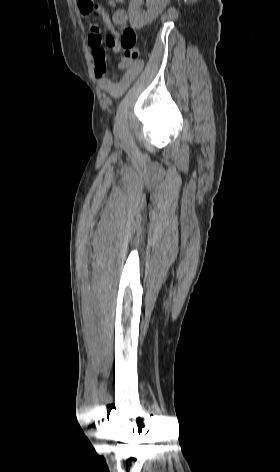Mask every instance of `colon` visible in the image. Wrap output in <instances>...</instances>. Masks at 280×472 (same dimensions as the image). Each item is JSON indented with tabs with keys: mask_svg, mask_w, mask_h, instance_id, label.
<instances>
[{
	"mask_svg": "<svg viewBox=\"0 0 280 472\" xmlns=\"http://www.w3.org/2000/svg\"><path fill=\"white\" fill-rule=\"evenodd\" d=\"M88 9H92L93 0H88L86 3ZM137 36L134 30L126 28L120 37V47L126 58L134 59L138 56V49L136 45Z\"/></svg>",
	"mask_w": 280,
	"mask_h": 472,
	"instance_id": "obj_1",
	"label": "colon"
}]
</instances>
